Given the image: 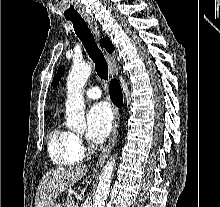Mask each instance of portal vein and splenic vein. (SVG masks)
<instances>
[{
	"label": "portal vein and splenic vein",
	"instance_id": "obj_1",
	"mask_svg": "<svg viewBox=\"0 0 220 207\" xmlns=\"http://www.w3.org/2000/svg\"><path fill=\"white\" fill-rule=\"evenodd\" d=\"M72 207H78V203L73 202Z\"/></svg>",
	"mask_w": 220,
	"mask_h": 207
}]
</instances>
